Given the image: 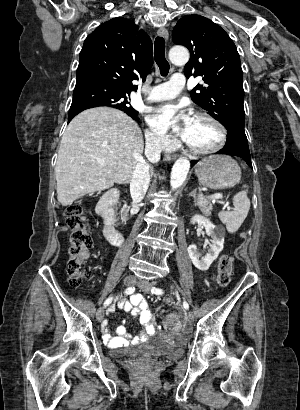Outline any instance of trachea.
Listing matches in <instances>:
<instances>
[{"label":"trachea","mask_w":300,"mask_h":410,"mask_svg":"<svg viewBox=\"0 0 300 410\" xmlns=\"http://www.w3.org/2000/svg\"><path fill=\"white\" fill-rule=\"evenodd\" d=\"M154 58L160 69V74L166 76L169 72L170 65L165 58V40L163 37H157L154 42Z\"/></svg>","instance_id":"trachea-1"}]
</instances>
